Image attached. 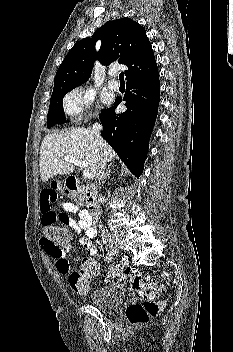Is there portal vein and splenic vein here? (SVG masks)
Segmentation results:
<instances>
[{
  "instance_id": "1",
  "label": "portal vein and splenic vein",
  "mask_w": 233,
  "mask_h": 352,
  "mask_svg": "<svg viewBox=\"0 0 233 352\" xmlns=\"http://www.w3.org/2000/svg\"><path fill=\"white\" fill-rule=\"evenodd\" d=\"M64 160L70 163H73L74 165L80 167V168H86L87 167V162L79 160L73 156H66L64 157ZM83 176L87 179L91 178V173L89 170H84L83 171Z\"/></svg>"
}]
</instances>
